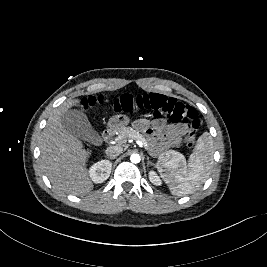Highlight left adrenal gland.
<instances>
[{"label": "left adrenal gland", "mask_w": 267, "mask_h": 267, "mask_svg": "<svg viewBox=\"0 0 267 267\" xmlns=\"http://www.w3.org/2000/svg\"><path fill=\"white\" fill-rule=\"evenodd\" d=\"M153 165V163L149 160V157H147V166Z\"/></svg>", "instance_id": "obj_1"}]
</instances>
